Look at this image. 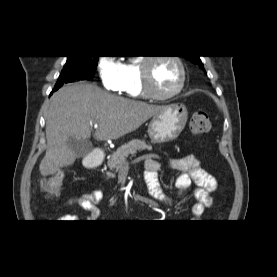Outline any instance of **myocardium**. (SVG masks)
I'll return each instance as SVG.
<instances>
[{
  "instance_id": "myocardium-1",
  "label": "myocardium",
  "mask_w": 277,
  "mask_h": 277,
  "mask_svg": "<svg viewBox=\"0 0 277 277\" xmlns=\"http://www.w3.org/2000/svg\"><path fill=\"white\" fill-rule=\"evenodd\" d=\"M159 59L171 60L177 65L179 69V73H180L179 83L177 87L168 94H159L153 89V86H152V80H151L152 65L155 63V61ZM140 78H141V89L144 95L155 100H168L177 96L182 92L186 82V68L181 58L175 55H161L156 57H146L142 60V63H141Z\"/></svg>"
}]
</instances>
